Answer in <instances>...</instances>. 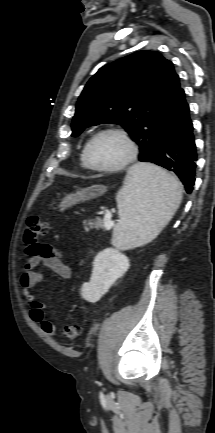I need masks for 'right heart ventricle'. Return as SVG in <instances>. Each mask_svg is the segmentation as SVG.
Wrapping results in <instances>:
<instances>
[{"label": "right heart ventricle", "mask_w": 215, "mask_h": 433, "mask_svg": "<svg viewBox=\"0 0 215 433\" xmlns=\"http://www.w3.org/2000/svg\"><path fill=\"white\" fill-rule=\"evenodd\" d=\"M83 151H84V150H83ZM83 151H82L81 154H80V164H81V167H82L83 169H89L88 166H87L86 163H85L84 155H83Z\"/></svg>", "instance_id": "obj_1"}]
</instances>
